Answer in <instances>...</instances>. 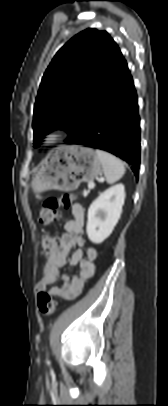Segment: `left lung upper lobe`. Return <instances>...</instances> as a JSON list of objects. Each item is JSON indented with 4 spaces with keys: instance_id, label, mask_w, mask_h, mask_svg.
I'll list each match as a JSON object with an SVG mask.
<instances>
[{
    "instance_id": "1",
    "label": "left lung upper lobe",
    "mask_w": 168,
    "mask_h": 406,
    "mask_svg": "<svg viewBox=\"0 0 168 406\" xmlns=\"http://www.w3.org/2000/svg\"><path fill=\"white\" fill-rule=\"evenodd\" d=\"M122 59L106 31L86 29L71 38L42 78L34 106V147L54 129L67 131L68 139L76 136Z\"/></svg>"
}]
</instances>
